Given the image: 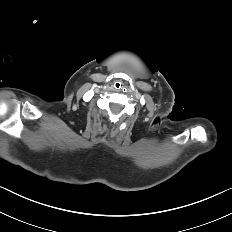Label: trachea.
Here are the masks:
<instances>
[{
  "mask_svg": "<svg viewBox=\"0 0 232 232\" xmlns=\"http://www.w3.org/2000/svg\"><path fill=\"white\" fill-rule=\"evenodd\" d=\"M113 87L116 90H121L124 87V84L121 81H116L114 82Z\"/></svg>",
  "mask_w": 232,
  "mask_h": 232,
  "instance_id": "obj_1",
  "label": "trachea"
}]
</instances>
